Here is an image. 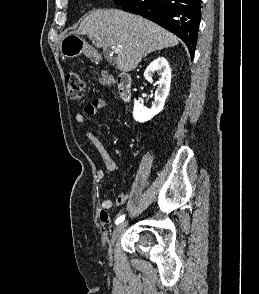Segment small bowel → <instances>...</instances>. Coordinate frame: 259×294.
Masks as SVG:
<instances>
[{
  "label": "small bowel",
  "instance_id": "1",
  "mask_svg": "<svg viewBox=\"0 0 259 294\" xmlns=\"http://www.w3.org/2000/svg\"><path fill=\"white\" fill-rule=\"evenodd\" d=\"M106 107V102L103 99H94L92 102L87 104L84 108V113H76L75 120L77 123L82 124L85 122L86 116L88 117H94L96 116L100 111L104 110ZM86 137L89 139L91 144L94 146V148L97 150L100 159L107 170L113 171L116 168V164L110 154L105 149L103 143L101 142L100 138L96 136L95 134L91 132L86 133ZM105 177V172L103 170H99L97 172V179L103 180ZM126 201V198L123 194H119L117 197V204L119 206L124 205ZM113 205V202L109 198H105L101 202V208L99 211V220L103 224H109L110 223V216H109V210L111 209Z\"/></svg>",
  "mask_w": 259,
  "mask_h": 294
}]
</instances>
